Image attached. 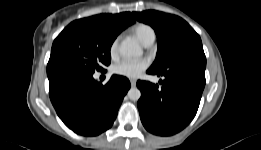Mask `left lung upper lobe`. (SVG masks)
Listing matches in <instances>:
<instances>
[{
    "label": "left lung upper lobe",
    "instance_id": "left-lung-upper-lobe-1",
    "mask_svg": "<svg viewBox=\"0 0 261 150\" xmlns=\"http://www.w3.org/2000/svg\"><path fill=\"white\" fill-rule=\"evenodd\" d=\"M133 15L149 24L157 35L158 51L149 69L161 71L185 53L204 52L200 36L182 18L155 10L133 12Z\"/></svg>",
    "mask_w": 261,
    "mask_h": 150
}]
</instances>
